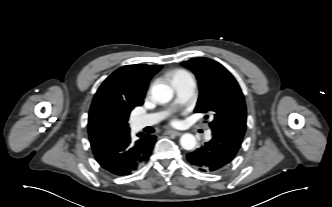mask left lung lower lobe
Segmentation results:
<instances>
[{"label":"left lung lower lobe","instance_id":"obj_1","mask_svg":"<svg viewBox=\"0 0 332 207\" xmlns=\"http://www.w3.org/2000/svg\"><path fill=\"white\" fill-rule=\"evenodd\" d=\"M242 136L212 130V139L194 152L187 154L188 162L204 173L223 170L236 156Z\"/></svg>","mask_w":332,"mask_h":207}]
</instances>
